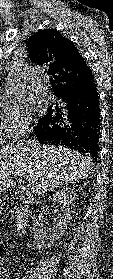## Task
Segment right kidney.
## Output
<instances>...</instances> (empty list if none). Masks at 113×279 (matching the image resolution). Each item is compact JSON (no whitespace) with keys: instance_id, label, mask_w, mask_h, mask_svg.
<instances>
[{"instance_id":"right-kidney-1","label":"right kidney","mask_w":113,"mask_h":279,"mask_svg":"<svg viewBox=\"0 0 113 279\" xmlns=\"http://www.w3.org/2000/svg\"><path fill=\"white\" fill-rule=\"evenodd\" d=\"M76 196L75 189L70 187L63 188L50 196V200L53 203L63 202V206L60 208V218L54 219L52 228L43 229L40 223L41 218L33 225L34 239L39 247L51 248L63 236L73 214L72 209L75 206Z\"/></svg>"}]
</instances>
